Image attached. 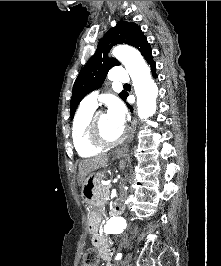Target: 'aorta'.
<instances>
[{"mask_svg": "<svg viewBox=\"0 0 221 266\" xmlns=\"http://www.w3.org/2000/svg\"><path fill=\"white\" fill-rule=\"evenodd\" d=\"M112 55L118 59L131 76L137 96V113L139 118L147 119L156 112L158 87L151 77L150 69L141 54L127 46H116ZM126 229L123 217L114 216L104 225L109 234H121Z\"/></svg>", "mask_w": 221, "mask_h": 266, "instance_id": "aorta-1", "label": "aorta"}]
</instances>
